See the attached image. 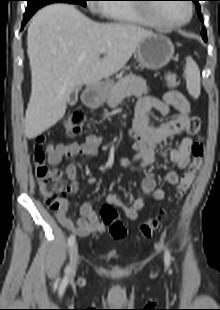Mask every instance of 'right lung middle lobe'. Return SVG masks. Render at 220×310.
Instances as JSON below:
<instances>
[{
  "label": "right lung middle lobe",
  "instance_id": "1",
  "mask_svg": "<svg viewBox=\"0 0 220 310\" xmlns=\"http://www.w3.org/2000/svg\"><path fill=\"white\" fill-rule=\"evenodd\" d=\"M27 1H28L27 9L33 10V9H39L47 4L54 2H66L86 6L87 0H27Z\"/></svg>",
  "mask_w": 220,
  "mask_h": 310
}]
</instances>
